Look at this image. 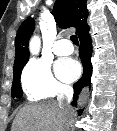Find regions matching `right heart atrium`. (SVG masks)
<instances>
[{"instance_id":"right-heart-atrium-1","label":"right heart atrium","mask_w":117,"mask_h":131,"mask_svg":"<svg viewBox=\"0 0 117 131\" xmlns=\"http://www.w3.org/2000/svg\"><path fill=\"white\" fill-rule=\"evenodd\" d=\"M23 90L30 100L53 98L69 90L66 83L58 80L47 63L30 61L21 76Z\"/></svg>"}]
</instances>
